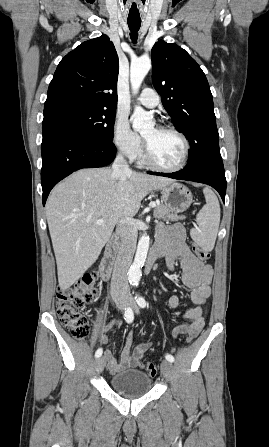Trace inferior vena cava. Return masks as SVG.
Masks as SVG:
<instances>
[{
	"instance_id": "1",
	"label": "inferior vena cava",
	"mask_w": 269,
	"mask_h": 447,
	"mask_svg": "<svg viewBox=\"0 0 269 447\" xmlns=\"http://www.w3.org/2000/svg\"><path fill=\"white\" fill-rule=\"evenodd\" d=\"M112 170V178H115V180L126 178L128 174H132L123 152L117 154L112 164ZM116 231L121 237V245L113 267L111 293L112 295L124 293V295L129 297L128 269L132 263L137 243V227H135L133 218H128V216L120 218Z\"/></svg>"
}]
</instances>
